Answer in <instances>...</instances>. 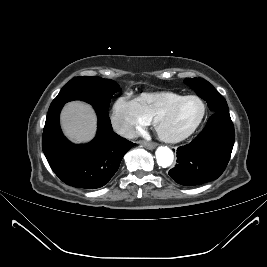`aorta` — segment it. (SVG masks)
Instances as JSON below:
<instances>
[{
  "label": "aorta",
  "instance_id": "aorta-1",
  "mask_svg": "<svg viewBox=\"0 0 267 267\" xmlns=\"http://www.w3.org/2000/svg\"><path fill=\"white\" fill-rule=\"evenodd\" d=\"M157 164L163 168L169 167L173 163L174 155L168 147L160 146L156 150Z\"/></svg>",
  "mask_w": 267,
  "mask_h": 267
}]
</instances>
